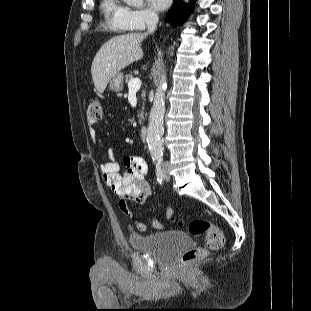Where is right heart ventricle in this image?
Listing matches in <instances>:
<instances>
[{
    "mask_svg": "<svg viewBox=\"0 0 311 311\" xmlns=\"http://www.w3.org/2000/svg\"><path fill=\"white\" fill-rule=\"evenodd\" d=\"M100 10L103 24L116 32H127L131 29L126 22L128 8L120 0H102Z\"/></svg>",
    "mask_w": 311,
    "mask_h": 311,
    "instance_id": "e07e8e85",
    "label": "right heart ventricle"
}]
</instances>
